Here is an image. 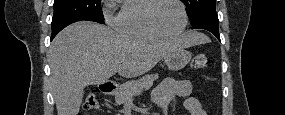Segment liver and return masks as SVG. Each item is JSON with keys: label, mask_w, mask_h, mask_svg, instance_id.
Wrapping results in <instances>:
<instances>
[{"label": "liver", "mask_w": 285, "mask_h": 115, "mask_svg": "<svg viewBox=\"0 0 285 115\" xmlns=\"http://www.w3.org/2000/svg\"><path fill=\"white\" fill-rule=\"evenodd\" d=\"M201 43L197 32L157 40L117 34L91 22L67 26L48 54L58 115L78 114L86 86L103 84L116 73L126 78L143 75L173 51Z\"/></svg>", "instance_id": "liver-1"}]
</instances>
